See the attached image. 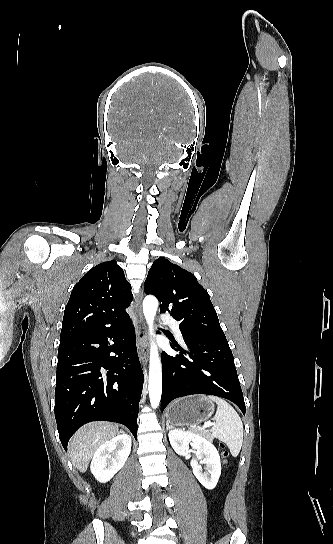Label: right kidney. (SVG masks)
Segmentation results:
<instances>
[{"label":"right kidney","instance_id":"obj_1","mask_svg":"<svg viewBox=\"0 0 333 544\" xmlns=\"http://www.w3.org/2000/svg\"><path fill=\"white\" fill-rule=\"evenodd\" d=\"M132 440L125 433L102 444L95 452L91 462V473L101 483L108 482L125 464Z\"/></svg>","mask_w":333,"mask_h":544}]
</instances>
